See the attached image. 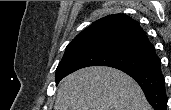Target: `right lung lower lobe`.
Listing matches in <instances>:
<instances>
[{"mask_svg":"<svg viewBox=\"0 0 171 110\" xmlns=\"http://www.w3.org/2000/svg\"><path fill=\"white\" fill-rule=\"evenodd\" d=\"M160 59L154 66L143 70H125L142 88L148 102L155 110H166L167 97L164 77L160 72Z\"/></svg>","mask_w":171,"mask_h":110,"instance_id":"98d812e1","label":"right lung lower lobe"}]
</instances>
